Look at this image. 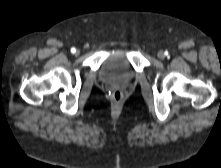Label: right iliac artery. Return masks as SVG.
Here are the masks:
<instances>
[{
    "label": "right iliac artery",
    "mask_w": 221,
    "mask_h": 168,
    "mask_svg": "<svg viewBox=\"0 0 221 168\" xmlns=\"http://www.w3.org/2000/svg\"><path fill=\"white\" fill-rule=\"evenodd\" d=\"M71 52H72V53H75V52H76V49H75V48H71Z\"/></svg>",
    "instance_id": "82829eb1"
}]
</instances>
